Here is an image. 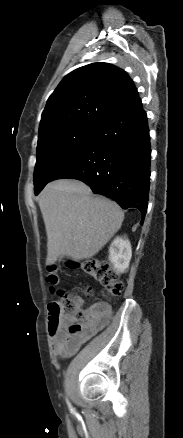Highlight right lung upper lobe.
<instances>
[{"instance_id":"cb5924a9","label":"right lung upper lobe","mask_w":183,"mask_h":438,"mask_svg":"<svg viewBox=\"0 0 183 438\" xmlns=\"http://www.w3.org/2000/svg\"><path fill=\"white\" fill-rule=\"evenodd\" d=\"M141 103L125 71L108 63L80 67L59 83L42 113L39 137L77 125L98 126Z\"/></svg>"}]
</instances>
